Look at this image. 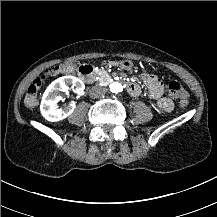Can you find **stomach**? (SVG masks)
I'll list each match as a JSON object with an SVG mask.
<instances>
[{
	"label": "stomach",
	"instance_id": "stomach-1",
	"mask_svg": "<svg viewBox=\"0 0 217 217\" xmlns=\"http://www.w3.org/2000/svg\"><path fill=\"white\" fill-rule=\"evenodd\" d=\"M120 66L121 68H124V69H131L133 66V63L130 60H123V61H120Z\"/></svg>",
	"mask_w": 217,
	"mask_h": 217
}]
</instances>
